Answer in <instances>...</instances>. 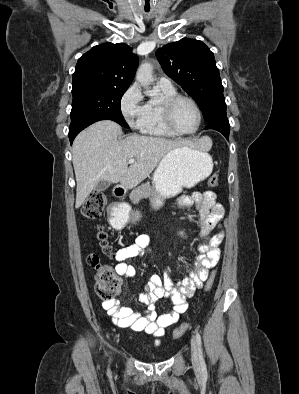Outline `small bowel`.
<instances>
[{"instance_id": "1", "label": "small bowel", "mask_w": 299, "mask_h": 394, "mask_svg": "<svg viewBox=\"0 0 299 394\" xmlns=\"http://www.w3.org/2000/svg\"><path fill=\"white\" fill-rule=\"evenodd\" d=\"M176 204L183 211L194 209L198 217L196 223L198 231L195 238L206 239L198 245L197 257L193 266L188 270V277L175 282L168 274L163 277L152 275L146 284V292L138 297L141 302L148 305L143 315L123 306L120 300L102 303V308L117 327L153 335L156 338V345L160 344V338L165 334V330L175 324L180 315L187 310V298L193 296L197 288L202 287L209 275V269L217 265L220 259L219 245L224 239L222 230L210 236L215 227L221 228L220 222L225 212L224 207L216 201V194L213 191L194 192L189 196H180L176 199ZM112 211L116 216L120 210L119 207L114 206ZM178 234L186 237L184 230H179ZM152 251L149 237L143 234L137 235L131 245L123 246L116 251L115 258L119 262L115 267L116 273L125 278L133 277L136 269L127 260L137 259ZM164 297L170 298L173 308L158 315L154 302Z\"/></svg>"}]
</instances>
